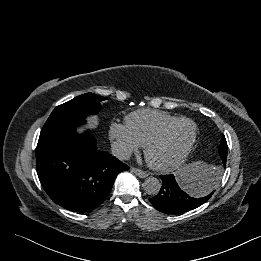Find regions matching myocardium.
<instances>
[{"mask_svg": "<svg viewBox=\"0 0 261 261\" xmlns=\"http://www.w3.org/2000/svg\"><path fill=\"white\" fill-rule=\"evenodd\" d=\"M182 121L189 122L193 127V133H192L191 139H190L188 145L186 146V148L184 149V151L182 152V154L177 159H175L174 161L169 162V163L159 164V163L154 162L150 158L151 148L162 139V137L165 135V133L172 126H174L175 124L182 122ZM197 134H198V128H197L196 123L192 119L187 118V117H177V118L171 120L170 122L164 124L144 144V156H145V159H146L148 165L153 170H156L159 172H168V171H171V170L177 168L188 158L189 154L191 153V151L196 143Z\"/></svg>", "mask_w": 261, "mask_h": 261, "instance_id": "f54148a6", "label": "myocardium"}]
</instances>
